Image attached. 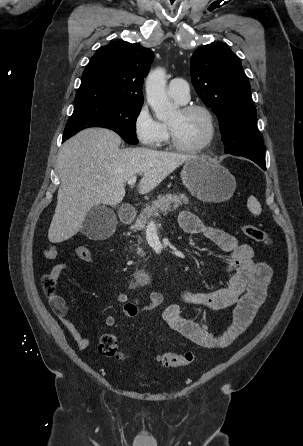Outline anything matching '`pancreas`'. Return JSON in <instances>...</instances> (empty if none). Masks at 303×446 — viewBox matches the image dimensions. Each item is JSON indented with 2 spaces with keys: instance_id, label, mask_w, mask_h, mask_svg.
I'll list each match as a JSON object with an SVG mask.
<instances>
[{
  "instance_id": "pancreas-1",
  "label": "pancreas",
  "mask_w": 303,
  "mask_h": 446,
  "mask_svg": "<svg viewBox=\"0 0 303 446\" xmlns=\"http://www.w3.org/2000/svg\"><path fill=\"white\" fill-rule=\"evenodd\" d=\"M189 198L185 194H166L158 196L151 204H147L140 216L133 225V230H145L146 225L153 218L160 217L161 214L166 215L172 210H176L180 205L187 204ZM143 251L137 248V254L141 255Z\"/></svg>"
}]
</instances>
